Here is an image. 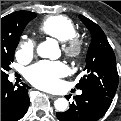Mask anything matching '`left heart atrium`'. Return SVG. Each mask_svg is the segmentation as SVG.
Returning <instances> with one entry per match:
<instances>
[{
  "mask_svg": "<svg viewBox=\"0 0 121 121\" xmlns=\"http://www.w3.org/2000/svg\"><path fill=\"white\" fill-rule=\"evenodd\" d=\"M66 71V66L61 62L42 61L27 70L26 78L38 88L51 90L58 86Z\"/></svg>",
  "mask_w": 121,
  "mask_h": 121,
  "instance_id": "1",
  "label": "left heart atrium"
}]
</instances>
